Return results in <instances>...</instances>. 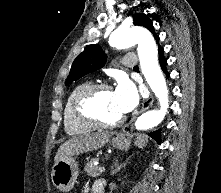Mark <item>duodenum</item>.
Segmentation results:
<instances>
[{"instance_id":"obj_1","label":"duodenum","mask_w":221,"mask_h":193,"mask_svg":"<svg viewBox=\"0 0 221 193\" xmlns=\"http://www.w3.org/2000/svg\"><path fill=\"white\" fill-rule=\"evenodd\" d=\"M93 193H104V190L98 188V189H95V190L93 191Z\"/></svg>"}]
</instances>
